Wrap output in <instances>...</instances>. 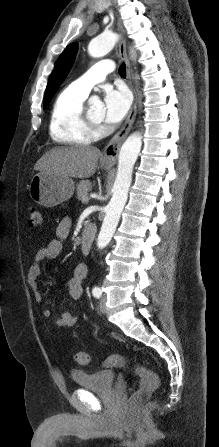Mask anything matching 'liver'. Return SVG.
<instances>
[{"label":"liver","instance_id":"6515ba94","mask_svg":"<svg viewBox=\"0 0 219 447\" xmlns=\"http://www.w3.org/2000/svg\"><path fill=\"white\" fill-rule=\"evenodd\" d=\"M100 156V150L92 146L56 147L46 152L37 161L34 169L64 177L89 178L95 173Z\"/></svg>","mask_w":219,"mask_h":447}]
</instances>
